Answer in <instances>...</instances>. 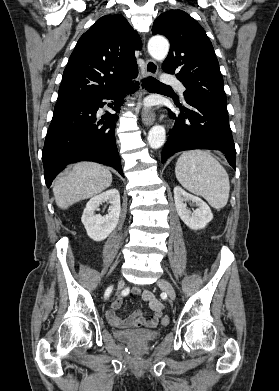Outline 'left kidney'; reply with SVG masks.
Masks as SVG:
<instances>
[{
	"label": "left kidney",
	"instance_id": "left-kidney-1",
	"mask_svg": "<svg viewBox=\"0 0 279 391\" xmlns=\"http://www.w3.org/2000/svg\"><path fill=\"white\" fill-rule=\"evenodd\" d=\"M174 200L181 220L193 230L203 229L213 219L210 207L201 198L189 194L180 186L174 188ZM195 203L197 208L193 211L187 208V203Z\"/></svg>",
	"mask_w": 279,
	"mask_h": 391
}]
</instances>
